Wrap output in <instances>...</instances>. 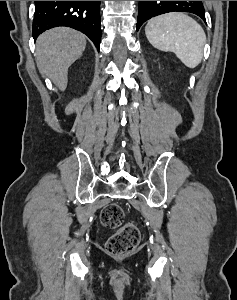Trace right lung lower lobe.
<instances>
[{"label":"right lung lower lobe","mask_w":237,"mask_h":300,"mask_svg":"<svg viewBox=\"0 0 237 300\" xmlns=\"http://www.w3.org/2000/svg\"><path fill=\"white\" fill-rule=\"evenodd\" d=\"M33 37L57 26L86 34L99 50L101 42L100 1H35Z\"/></svg>","instance_id":"1"}]
</instances>
